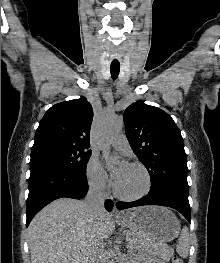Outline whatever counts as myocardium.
<instances>
[{"instance_id":"obj_1","label":"myocardium","mask_w":220,"mask_h":263,"mask_svg":"<svg viewBox=\"0 0 220 263\" xmlns=\"http://www.w3.org/2000/svg\"><path fill=\"white\" fill-rule=\"evenodd\" d=\"M129 165L138 167L143 171L145 178H146V185H145L144 190L138 194H135V195H125V194L120 193L117 190V188L115 186V182H113L112 188H113V193L117 198H119L123 201L131 202V201H137V200L144 198L150 192L151 186H152V178H151V174H150L149 170L147 169V167L144 164H142L141 162L134 161V162H131Z\"/></svg>"}]
</instances>
